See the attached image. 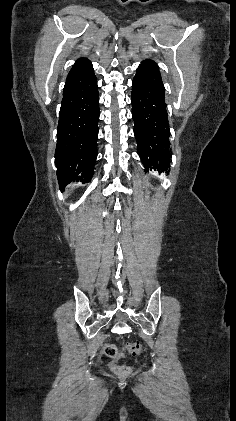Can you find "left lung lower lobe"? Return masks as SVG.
<instances>
[{"label":"left lung lower lobe","instance_id":"left-lung-lower-lobe-1","mask_svg":"<svg viewBox=\"0 0 236 421\" xmlns=\"http://www.w3.org/2000/svg\"><path fill=\"white\" fill-rule=\"evenodd\" d=\"M132 114L138 155L149 170L166 171L170 163V130L165 103V88L158 65L141 62L132 83Z\"/></svg>","mask_w":236,"mask_h":421}]
</instances>
